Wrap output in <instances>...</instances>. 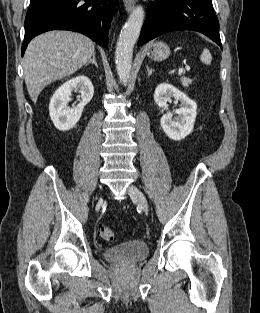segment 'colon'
Instances as JSON below:
<instances>
[{
    "label": "colon",
    "mask_w": 260,
    "mask_h": 313,
    "mask_svg": "<svg viewBox=\"0 0 260 313\" xmlns=\"http://www.w3.org/2000/svg\"><path fill=\"white\" fill-rule=\"evenodd\" d=\"M99 235L103 240L107 242H113L116 238L113 230L105 225L99 227Z\"/></svg>",
    "instance_id": "5ec220e1"
}]
</instances>
